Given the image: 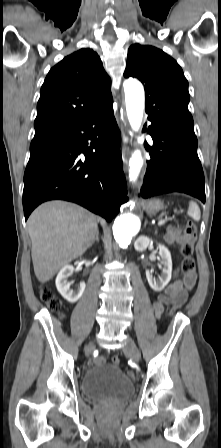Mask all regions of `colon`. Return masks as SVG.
I'll use <instances>...</instances> for the list:
<instances>
[{"label":"colon","mask_w":221,"mask_h":448,"mask_svg":"<svg viewBox=\"0 0 221 448\" xmlns=\"http://www.w3.org/2000/svg\"><path fill=\"white\" fill-rule=\"evenodd\" d=\"M197 228L194 222L188 221L185 229H184V241L181 246V253L184 257L181 271L184 278H189L192 274L195 273V261L193 258L194 252V240L196 237ZM41 298L44 302L48 304L50 308L53 310L60 309V302L54 298L51 290L49 288H44L41 291ZM181 304L179 302H174L171 306L170 312L174 313L180 308ZM97 364L102 365L105 363V359L100 357L97 359ZM112 363L114 365H118L120 363V358L118 356H114L112 358ZM129 376H132L131 372H128Z\"/></svg>","instance_id":"obj_1"}]
</instances>
